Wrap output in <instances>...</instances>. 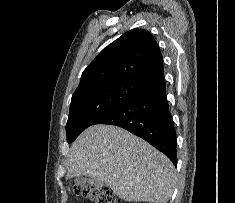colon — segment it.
<instances>
[{"instance_id": "colon-1", "label": "colon", "mask_w": 235, "mask_h": 203, "mask_svg": "<svg viewBox=\"0 0 235 203\" xmlns=\"http://www.w3.org/2000/svg\"><path fill=\"white\" fill-rule=\"evenodd\" d=\"M75 194L90 199L93 203H117L115 195L107 186L77 184L73 187Z\"/></svg>"}]
</instances>
